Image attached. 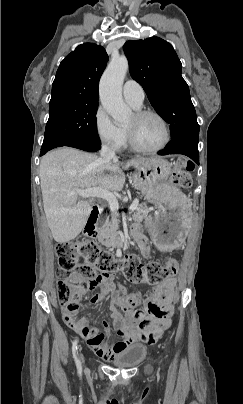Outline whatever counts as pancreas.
<instances>
[{
  "label": "pancreas",
  "mask_w": 243,
  "mask_h": 404,
  "mask_svg": "<svg viewBox=\"0 0 243 404\" xmlns=\"http://www.w3.org/2000/svg\"><path fill=\"white\" fill-rule=\"evenodd\" d=\"M149 212H151L150 208H148L146 202L143 204H139L138 210L133 214V220L136 223L142 222L145 216H148ZM119 214H111V222H106L103 228L98 232V240L102 242V244H115L117 240V236L119 232L118 230V220Z\"/></svg>",
  "instance_id": "obj_1"
}]
</instances>
